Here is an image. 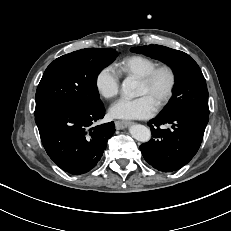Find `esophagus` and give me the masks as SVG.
Instances as JSON below:
<instances>
[{"instance_id":"obj_1","label":"esophagus","mask_w":231,"mask_h":231,"mask_svg":"<svg viewBox=\"0 0 231 231\" xmlns=\"http://www.w3.org/2000/svg\"><path fill=\"white\" fill-rule=\"evenodd\" d=\"M132 124L133 122L131 121H115V126L117 129H124Z\"/></svg>"}]
</instances>
